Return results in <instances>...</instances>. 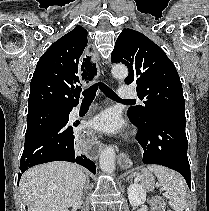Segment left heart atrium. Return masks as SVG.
I'll use <instances>...</instances> for the list:
<instances>
[{
    "instance_id": "1",
    "label": "left heart atrium",
    "mask_w": 209,
    "mask_h": 211,
    "mask_svg": "<svg viewBox=\"0 0 209 211\" xmlns=\"http://www.w3.org/2000/svg\"><path fill=\"white\" fill-rule=\"evenodd\" d=\"M90 125L93 129L107 134L119 133L124 127L120 113L113 108L106 109L97 114L92 119Z\"/></svg>"
}]
</instances>
